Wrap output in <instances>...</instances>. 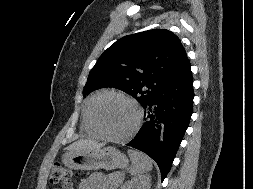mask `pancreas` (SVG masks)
<instances>
[{
    "instance_id": "1",
    "label": "pancreas",
    "mask_w": 253,
    "mask_h": 189,
    "mask_svg": "<svg viewBox=\"0 0 253 189\" xmlns=\"http://www.w3.org/2000/svg\"><path fill=\"white\" fill-rule=\"evenodd\" d=\"M123 173L121 172H114V173H110L108 174L106 177H107V182L109 184H111L112 186L114 187H117L119 186V184L122 183L123 181Z\"/></svg>"
}]
</instances>
